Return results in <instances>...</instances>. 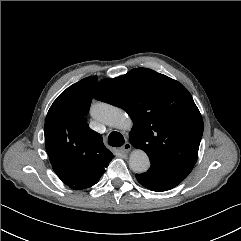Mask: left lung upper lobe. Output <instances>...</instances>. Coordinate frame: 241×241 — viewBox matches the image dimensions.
<instances>
[{
	"mask_svg": "<svg viewBox=\"0 0 241 241\" xmlns=\"http://www.w3.org/2000/svg\"><path fill=\"white\" fill-rule=\"evenodd\" d=\"M94 97L125 109L133 120L131 144L151 165L188 176L198 157L203 119L188 90L147 68L102 80Z\"/></svg>",
	"mask_w": 241,
	"mask_h": 241,
	"instance_id": "1",
	"label": "left lung upper lobe"
}]
</instances>
